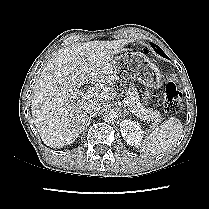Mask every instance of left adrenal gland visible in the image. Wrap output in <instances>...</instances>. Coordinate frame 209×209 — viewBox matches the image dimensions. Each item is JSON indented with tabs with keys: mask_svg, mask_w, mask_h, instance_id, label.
Segmentation results:
<instances>
[{
	"mask_svg": "<svg viewBox=\"0 0 209 209\" xmlns=\"http://www.w3.org/2000/svg\"><path fill=\"white\" fill-rule=\"evenodd\" d=\"M129 111L127 110L126 106H124V110H123V116H126V114H128Z\"/></svg>",
	"mask_w": 209,
	"mask_h": 209,
	"instance_id": "left-adrenal-gland-1",
	"label": "left adrenal gland"
}]
</instances>
